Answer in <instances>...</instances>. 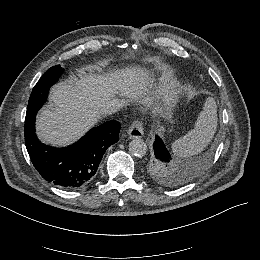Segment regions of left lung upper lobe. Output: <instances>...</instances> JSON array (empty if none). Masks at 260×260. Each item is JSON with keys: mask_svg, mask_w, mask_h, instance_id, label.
Listing matches in <instances>:
<instances>
[{"mask_svg": "<svg viewBox=\"0 0 260 260\" xmlns=\"http://www.w3.org/2000/svg\"><path fill=\"white\" fill-rule=\"evenodd\" d=\"M146 174L156 183L169 187H178L194 177V169H186L178 166L170 160H163L155 156L153 152L149 153L145 162Z\"/></svg>", "mask_w": 260, "mask_h": 260, "instance_id": "left-lung-upper-lobe-1", "label": "left lung upper lobe"}]
</instances>
